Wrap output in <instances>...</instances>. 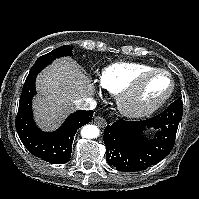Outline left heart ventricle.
Listing matches in <instances>:
<instances>
[{
    "instance_id": "b2bd125f",
    "label": "left heart ventricle",
    "mask_w": 199,
    "mask_h": 199,
    "mask_svg": "<svg viewBox=\"0 0 199 199\" xmlns=\"http://www.w3.org/2000/svg\"><path fill=\"white\" fill-rule=\"evenodd\" d=\"M170 80L165 75H154L143 85L138 102L151 104L162 98L170 89Z\"/></svg>"
}]
</instances>
